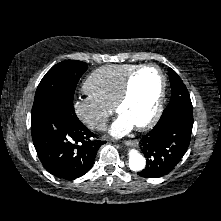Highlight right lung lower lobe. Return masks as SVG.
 <instances>
[{"label":"right lung lower lobe","mask_w":221,"mask_h":221,"mask_svg":"<svg viewBox=\"0 0 221 221\" xmlns=\"http://www.w3.org/2000/svg\"><path fill=\"white\" fill-rule=\"evenodd\" d=\"M33 144L44 168L52 175L73 180L92 167L105 141L96 140L77 118L73 106H52L31 119Z\"/></svg>","instance_id":"right-lung-lower-lobe-1"}]
</instances>
